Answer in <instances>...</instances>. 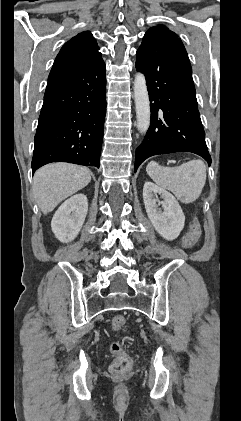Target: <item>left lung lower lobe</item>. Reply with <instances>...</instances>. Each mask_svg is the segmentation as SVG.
I'll list each match as a JSON object with an SVG mask.
<instances>
[{"label":"left lung lower lobe","mask_w":241,"mask_h":421,"mask_svg":"<svg viewBox=\"0 0 241 421\" xmlns=\"http://www.w3.org/2000/svg\"><path fill=\"white\" fill-rule=\"evenodd\" d=\"M136 55V69L146 77L151 118L136 149L135 172L148 157L173 152H192L211 164L182 41L164 33H146Z\"/></svg>","instance_id":"left-lung-lower-lobe-1"}]
</instances>
